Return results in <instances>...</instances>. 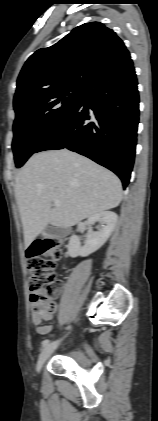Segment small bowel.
Wrapping results in <instances>:
<instances>
[{
    "label": "small bowel",
    "mask_w": 158,
    "mask_h": 421,
    "mask_svg": "<svg viewBox=\"0 0 158 421\" xmlns=\"http://www.w3.org/2000/svg\"><path fill=\"white\" fill-rule=\"evenodd\" d=\"M50 318H51V315L46 316V317H39L35 315L34 313H32V322L38 334L45 335L51 331L52 329L51 325L44 322L46 320H49Z\"/></svg>",
    "instance_id": "1"
}]
</instances>
